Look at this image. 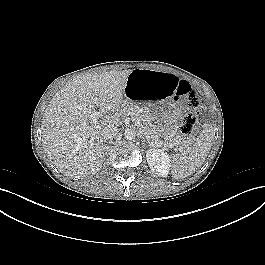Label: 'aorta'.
<instances>
[{"mask_svg":"<svg viewBox=\"0 0 265 265\" xmlns=\"http://www.w3.org/2000/svg\"><path fill=\"white\" fill-rule=\"evenodd\" d=\"M136 136V131L134 129L128 128L124 132V137L128 140L134 139Z\"/></svg>","mask_w":265,"mask_h":265,"instance_id":"obj_1","label":"aorta"}]
</instances>
